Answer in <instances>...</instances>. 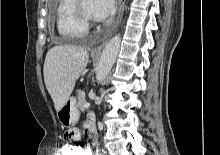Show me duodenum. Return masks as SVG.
<instances>
[{
    "instance_id": "obj_1",
    "label": "duodenum",
    "mask_w": 220,
    "mask_h": 155,
    "mask_svg": "<svg viewBox=\"0 0 220 155\" xmlns=\"http://www.w3.org/2000/svg\"><path fill=\"white\" fill-rule=\"evenodd\" d=\"M96 134H97L96 126L94 124V121H91L89 125V136L91 138H95Z\"/></svg>"
}]
</instances>
